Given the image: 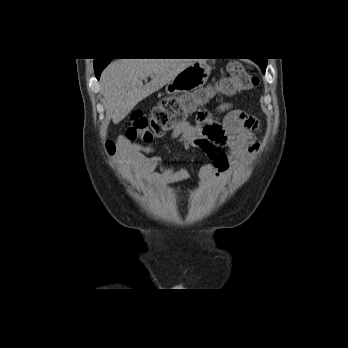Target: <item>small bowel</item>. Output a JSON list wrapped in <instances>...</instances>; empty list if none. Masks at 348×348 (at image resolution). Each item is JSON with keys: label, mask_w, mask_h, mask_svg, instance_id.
Listing matches in <instances>:
<instances>
[{"label": "small bowel", "mask_w": 348, "mask_h": 348, "mask_svg": "<svg viewBox=\"0 0 348 348\" xmlns=\"http://www.w3.org/2000/svg\"><path fill=\"white\" fill-rule=\"evenodd\" d=\"M217 112L226 115L220 119L202 109L196 124L185 122L171 135L183 148H198L207 156L199 169L200 185L204 189L211 187L224 173L238 174L259 147L256 137L259 122L255 117L230 102L219 105ZM118 145L119 158L142 182L164 187L189 177V171L184 167L163 166L161 157L152 155L155 147L130 144L125 137L118 139Z\"/></svg>", "instance_id": "small-bowel-1"}]
</instances>
